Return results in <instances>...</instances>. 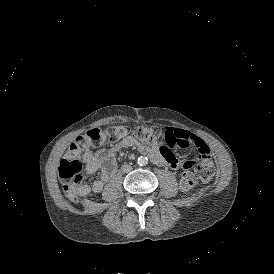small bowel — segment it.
Returning <instances> with one entry per match:
<instances>
[{
  "label": "small bowel",
  "instance_id": "small-bowel-1",
  "mask_svg": "<svg viewBox=\"0 0 274 274\" xmlns=\"http://www.w3.org/2000/svg\"><path fill=\"white\" fill-rule=\"evenodd\" d=\"M166 144L161 147L160 151L167 157V160L161 155L159 147L157 145L145 146L140 144L132 136H125L122 138L116 149H123L127 147H137L143 154L148 156L151 161L160 167L170 166L172 168H189L192 163H200L197 165V173L199 176L205 178L208 183L214 182V177L211 175L212 167L215 166V161L211 157V151L209 150L208 143L201 139L199 136L190 133L177 127L166 129ZM192 146L197 148L200 155H193L192 157L180 156L175 153L178 147L186 148ZM83 161L88 173H95L101 171L100 176L96 179L92 185L81 184L79 195L86 196L90 192L100 193L108 180L116 172L117 165L113 149H100L93 151L91 149V143H84L82 145ZM202 163V164H201Z\"/></svg>",
  "mask_w": 274,
  "mask_h": 274
}]
</instances>
